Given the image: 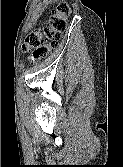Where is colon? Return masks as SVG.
<instances>
[{"instance_id": "5ec220e1", "label": "colon", "mask_w": 123, "mask_h": 167, "mask_svg": "<svg viewBox=\"0 0 123 167\" xmlns=\"http://www.w3.org/2000/svg\"><path fill=\"white\" fill-rule=\"evenodd\" d=\"M70 12V5L62 0L51 13L46 26L26 36L24 50L30 52L32 63H38L47 58L50 48L57 44V37L65 31Z\"/></svg>"}]
</instances>
